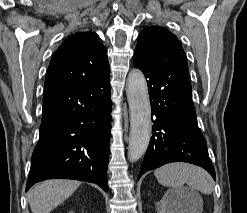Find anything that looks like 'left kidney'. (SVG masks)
I'll return each instance as SVG.
<instances>
[{
  "label": "left kidney",
  "mask_w": 247,
  "mask_h": 213,
  "mask_svg": "<svg viewBox=\"0 0 247 213\" xmlns=\"http://www.w3.org/2000/svg\"><path fill=\"white\" fill-rule=\"evenodd\" d=\"M156 205L157 213H199L188 191L169 190Z\"/></svg>",
  "instance_id": "obj_1"
}]
</instances>
